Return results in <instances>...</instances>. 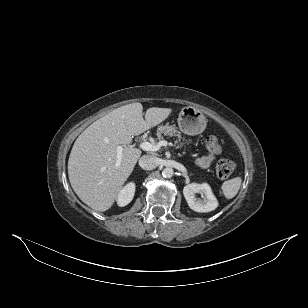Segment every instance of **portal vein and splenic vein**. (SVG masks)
I'll return each instance as SVG.
<instances>
[{
    "label": "portal vein and splenic vein",
    "mask_w": 308,
    "mask_h": 308,
    "mask_svg": "<svg viewBox=\"0 0 308 308\" xmlns=\"http://www.w3.org/2000/svg\"><path fill=\"white\" fill-rule=\"evenodd\" d=\"M169 145H170V143L168 141L163 140V141H160V142H158L156 144H152L150 142L144 141L139 146H140L141 149H143L145 151L155 152V151L160 150V148L162 146H169ZM122 151H123V148L121 146H119L117 148V162H116V166L120 165L121 158H122Z\"/></svg>",
    "instance_id": "portal-vein-and-splenic-vein-1"
}]
</instances>
